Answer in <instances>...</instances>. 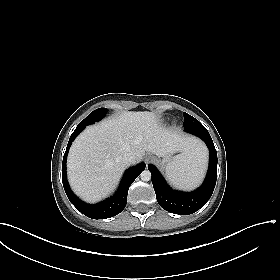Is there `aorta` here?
<instances>
[{
    "mask_svg": "<svg viewBox=\"0 0 280 280\" xmlns=\"http://www.w3.org/2000/svg\"><path fill=\"white\" fill-rule=\"evenodd\" d=\"M140 178L143 181H149L151 179V173L149 170H144L141 174H140Z\"/></svg>",
    "mask_w": 280,
    "mask_h": 280,
    "instance_id": "762f6f07",
    "label": "aorta"
}]
</instances>
